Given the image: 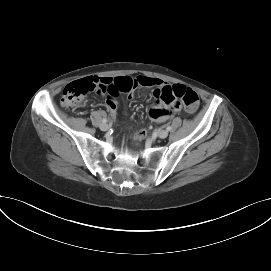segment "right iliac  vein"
<instances>
[{
  "label": "right iliac vein",
  "mask_w": 271,
  "mask_h": 271,
  "mask_svg": "<svg viewBox=\"0 0 271 271\" xmlns=\"http://www.w3.org/2000/svg\"><path fill=\"white\" fill-rule=\"evenodd\" d=\"M100 129L102 131H107L109 129V125L106 124V123H103V124L100 125Z\"/></svg>",
  "instance_id": "right-iliac-vein-1"
}]
</instances>
